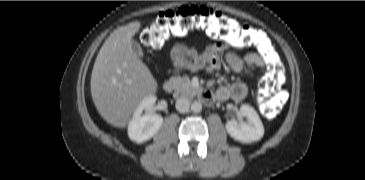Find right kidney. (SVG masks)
<instances>
[{"label":"right kidney","mask_w":365,"mask_h":180,"mask_svg":"<svg viewBox=\"0 0 365 180\" xmlns=\"http://www.w3.org/2000/svg\"><path fill=\"white\" fill-rule=\"evenodd\" d=\"M156 97L151 95L143 99L135 109L133 119L128 125L129 138L137 143L151 139L161 128L163 118L158 114L142 111L149 110L155 103Z\"/></svg>","instance_id":"obj_1"}]
</instances>
